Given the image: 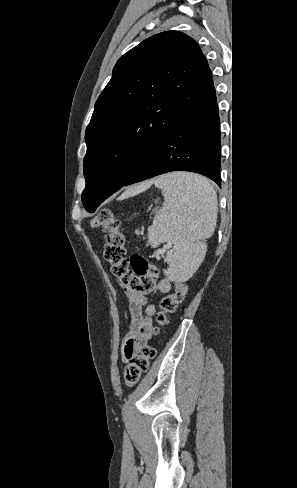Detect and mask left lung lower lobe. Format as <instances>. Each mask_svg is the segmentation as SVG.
Segmentation results:
<instances>
[{"label": "left lung lower lobe", "instance_id": "1", "mask_svg": "<svg viewBox=\"0 0 297 488\" xmlns=\"http://www.w3.org/2000/svg\"><path fill=\"white\" fill-rule=\"evenodd\" d=\"M171 171L199 173L221 186L220 119L215 95L169 132L123 186Z\"/></svg>", "mask_w": 297, "mask_h": 488}]
</instances>
